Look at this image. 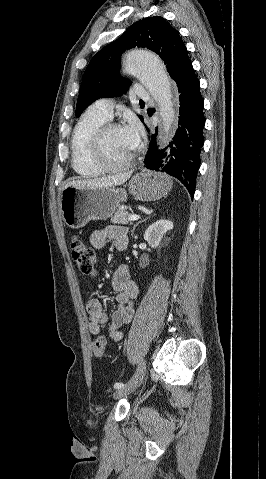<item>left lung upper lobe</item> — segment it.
Returning a JSON list of instances; mask_svg holds the SVG:
<instances>
[{
  "label": "left lung upper lobe",
  "mask_w": 266,
  "mask_h": 479,
  "mask_svg": "<svg viewBox=\"0 0 266 479\" xmlns=\"http://www.w3.org/2000/svg\"><path fill=\"white\" fill-rule=\"evenodd\" d=\"M136 46L146 47L157 53L164 60L173 80L190 61L178 31L165 19L155 16L138 21L91 59L83 75L76 117L95 100L118 97L126 92L131 81L120 76V58L126 49ZM139 118L143 121L142 116Z\"/></svg>",
  "instance_id": "left-lung-upper-lobe-1"
}]
</instances>
